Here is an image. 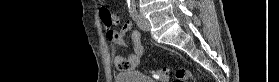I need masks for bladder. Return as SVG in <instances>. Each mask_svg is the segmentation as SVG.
Instances as JSON below:
<instances>
[{
  "instance_id": "1",
  "label": "bladder",
  "mask_w": 279,
  "mask_h": 82,
  "mask_svg": "<svg viewBox=\"0 0 279 82\" xmlns=\"http://www.w3.org/2000/svg\"><path fill=\"white\" fill-rule=\"evenodd\" d=\"M116 82H154L145 74L139 72H122L115 76Z\"/></svg>"
}]
</instances>
